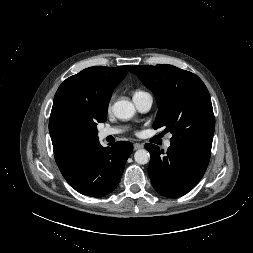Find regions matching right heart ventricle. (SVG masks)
I'll list each match as a JSON object with an SVG mask.
<instances>
[{
    "mask_svg": "<svg viewBox=\"0 0 253 253\" xmlns=\"http://www.w3.org/2000/svg\"><path fill=\"white\" fill-rule=\"evenodd\" d=\"M142 92H143V91H136L135 94L142 93ZM135 94H134V95H135Z\"/></svg>",
    "mask_w": 253,
    "mask_h": 253,
    "instance_id": "obj_1",
    "label": "right heart ventricle"
}]
</instances>
